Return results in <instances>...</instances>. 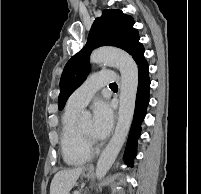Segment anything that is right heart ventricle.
<instances>
[{
  "mask_svg": "<svg viewBox=\"0 0 201 194\" xmlns=\"http://www.w3.org/2000/svg\"><path fill=\"white\" fill-rule=\"evenodd\" d=\"M80 109L66 106L61 118L60 145L64 161L69 165H80L91 157V150L85 145L76 124Z\"/></svg>",
  "mask_w": 201,
  "mask_h": 194,
  "instance_id": "obj_1",
  "label": "right heart ventricle"
}]
</instances>
